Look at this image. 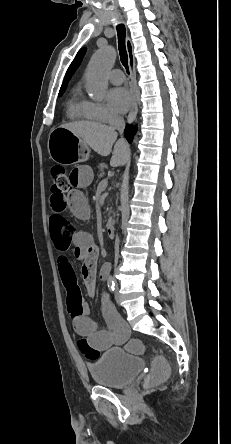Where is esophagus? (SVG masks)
I'll return each instance as SVG.
<instances>
[{
    "label": "esophagus",
    "mask_w": 231,
    "mask_h": 444,
    "mask_svg": "<svg viewBox=\"0 0 231 444\" xmlns=\"http://www.w3.org/2000/svg\"><path fill=\"white\" fill-rule=\"evenodd\" d=\"M126 50H127V54H128L129 67H130V69H132V68H134L133 45L128 37L126 39ZM131 93H132V107H131V110L127 116L128 123H132L136 119V116L138 113V98H137V92H136V88H135V79H134L133 75L131 78Z\"/></svg>",
    "instance_id": "1"
}]
</instances>
